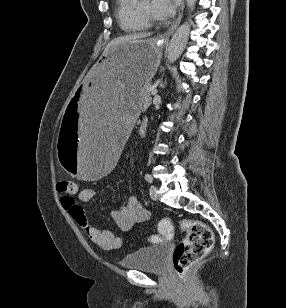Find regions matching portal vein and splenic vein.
<instances>
[{"label": "portal vein and splenic vein", "mask_w": 286, "mask_h": 308, "mask_svg": "<svg viewBox=\"0 0 286 308\" xmlns=\"http://www.w3.org/2000/svg\"><path fill=\"white\" fill-rule=\"evenodd\" d=\"M150 92H151L152 95H155V94H157V89L155 87H152L150 89Z\"/></svg>", "instance_id": "1"}]
</instances>
